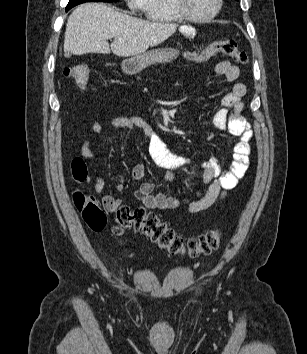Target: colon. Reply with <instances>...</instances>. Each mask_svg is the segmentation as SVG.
<instances>
[{
    "label": "colon",
    "instance_id": "colon-1",
    "mask_svg": "<svg viewBox=\"0 0 307 354\" xmlns=\"http://www.w3.org/2000/svg\"><path fill=\"white\" fill-rule=\"evenodd\" d=\"M217 54L229 56L239 64H246L248 60L246 53L239 49L237 42L233 39L215 41L201 50L188 51L185 56L189 61L203 62ZM64 75L78 85H86L89 81V69L82 64L66 68ZM72 174L74 179L79 182L86 179L87 169L83 160L74 159ZM73 202L85 223L92 230L101 231L107 222V212H113L115 214L113 232L116 235L123 234L127 229L139 231L171 255H188L190 257L207 255L214 251L220 242L218 230H209L186 241L166 223L160 221L156 214L143 207L131 208L119 205L113 210H109L104 204L102 208L93 196L80 191L73 194Z\"/></svg>",
    "mask_w": 307,
    "mask_h": 354
}]
</instances>
